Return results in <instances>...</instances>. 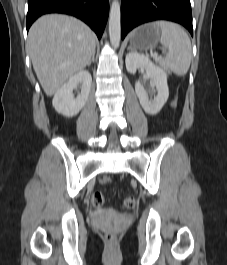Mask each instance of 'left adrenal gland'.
Masks as SVG:
<instances>
[{
	"instance_id": "a2214340",
	"label": "left adrenal gland",
	"mask_w": 227,
	"mask_h": 265,
	"mask_svg": "<svg viewBox=\"0 0 227 265\" xmlns=\"http://www.w3.org/2000/svg\"><path fill=\"white\" fill-rule=\"evenodd\" d=\"M131 49V47H128V50H130Z\"/></svg>"
}]
</instances>
